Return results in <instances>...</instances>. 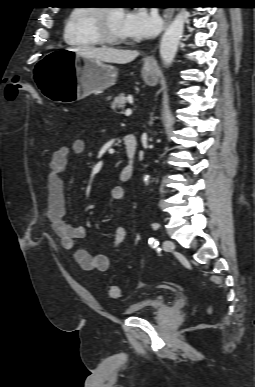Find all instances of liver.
<instances>
[{"instance_id":"liver-1","label":"liver","mask_w":255,"mask_h":387,"mask_svg":"<svg viewBox=\"0 0 255 387\" xmlns=\"http://www.w3.org/2000/svg\"><path fill=\"white\" fill-rule=\"evenodd\" d=\"M69 50H72L78 53L80 56L88 59H94L100 62L116 64L130 63L135 60L139 55L138 51L120 50L107 47L96 48L87 46Z\"/></svg>"}]
</instances>
